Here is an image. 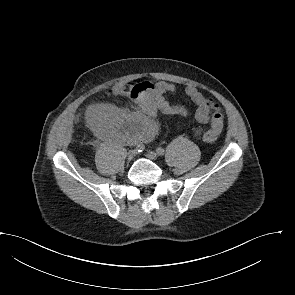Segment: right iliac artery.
<instances>
[{"label":"right iliac artery","mask_w":295,"mask_h":295,"mask_svg":"<svg viewBox=\"0 0 295 295\" xmlns=\"http://www.w3.org/2000/svg\"><path fill=\"white\" fill-rule=\"evenodd\" d=\"M143 149H144V148H143V146H141V145H138V146L136 147V151H137V152H141Z\"/></svg>","instance_id":"obj_1"}]
</instances>
